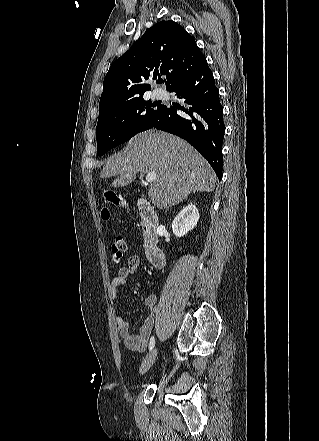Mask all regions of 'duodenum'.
Here are the masks:
<instances>
[{"label":"duodenum","mask_w":319,"mask_h":441,"mask_svg":"<svg viewBox=\"0 0 319 441\" xmlns=\"http://www.w3.org/2000/svg\"><path fill=\"white\" fill-rule=\"evenodd\" d=\"M137 206L143 220L146 257L155 268H162L166 263V256L164 251L156 243V230L158 227L157 214L153 206L145 199H138Z\"/></svg>","instance_id":"duodenum-1"}]
</instances>
